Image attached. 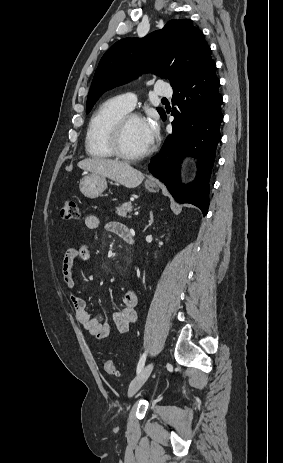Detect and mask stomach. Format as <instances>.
<instances>
[{
	"instance_id": "1",
	"label": "stomach",
	"mask_w": 283,
	"mask_h": 463,
	"mask_svg": "<svg viewBox=\"0 0 283 463\" xmlns=\"http://www.w3.org/2000/svg\"><path fill=\"white\" fill-rule=\"evenodd\" d=\"M145 187L149 192L155 193L158 191V183L154 181H146ZM79 188L81 193L87 198H97L107 188V181L105 177L99 175H88L81 179Z\"/></svg>"
}]
</instances>
